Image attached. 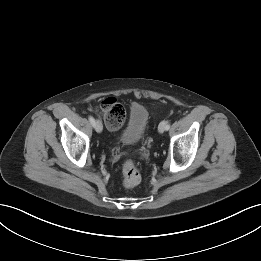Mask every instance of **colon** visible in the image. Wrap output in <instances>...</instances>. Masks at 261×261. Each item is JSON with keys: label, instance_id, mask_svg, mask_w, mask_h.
I'll return each mask as SVG.
<instances>
[{"label": "colon", "instance_id": "obj_1", "mask_svg": "<svg viewBox=\"0 0 261 261\" xmlns=\"http://www.w3.org/2000/svg\"><path fill=\"white\" fill-rule=\"evenodd\" d=\"M104 121L110 129H118L125 122L126 111L115 98H107L101 104ZM141 181V173L131 160H127L122 167V182L125 187L132 188Z\"/></svg>", "mask_w": 261, "mask_h": 261}]
</instances>
